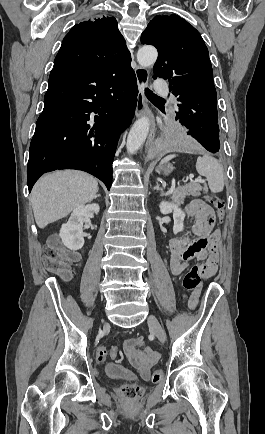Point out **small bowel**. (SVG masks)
<instances>
[{
	"label": "small bowel",
	"instance_id": "c3829d8e",
	"mask_svg": "<svg viewBox=\"0 0 265 434\" xmlns=\"http://www.w3.org/2000/svg\"><path fill=\"white\" fill-rule=\"evenodd\" d=\"M186 215L193 220L192 235L175 236L170 240V270L173 275L178 276L189 267L191 260L205 261L208 267H202L199 274L205 280L212 277L217 270V242L220 233L215 229V215L209 204L202 199L191 201L186 208ZM201 295L199 289L193 292L192 308H197ZM124 350L140 376L146 381L150 380L149 368L159 358L158 352L147 346L140 335L127 338L124 341Z\"/></svg>",
	"mask_w": 265,
	"mask_h": 434
}]
</instances>
